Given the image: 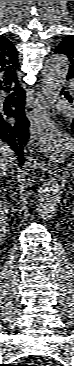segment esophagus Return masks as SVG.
Here are the masks:
<instances>
[{
    "label": "esophagus",
    "mask_w": 74,
    "mask_h": 366,
    "mask_svg": "<svg viewBox=\"0 0 74 366\" xmlns=\"http://www.w3.org/2000/svg\"><path fill=\"white\" fill-rule=\"evenodd\" d=\"M26 115L33 128V133L41 147L49 142L51 133L49 127L50 117L46 109L45 97L41 91H36L34 96H28L26 100Z\"/></svg>",
    "instance_id": "esophagus-1"
}]
</instances>
